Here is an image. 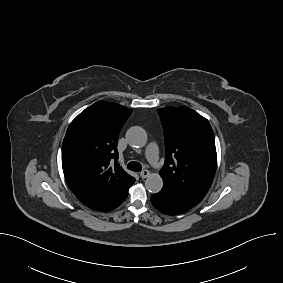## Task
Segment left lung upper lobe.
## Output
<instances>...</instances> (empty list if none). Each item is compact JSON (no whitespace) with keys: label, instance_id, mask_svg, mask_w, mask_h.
Segmentation results:
<instances>
[{"label":"left lung upper lobe","instance_id":"5c2ea615","mask_svg":"<svg viewBox=\"0 0 283 283\" xmlns=\"http://www.w3.org/2000/svg\"><path fill=\"white\" fill-rule=\"evenodd\" d=\"M164 131L166 157L160 175L189 206L208 192L216 171L217 154L208 120L187 106L157 110Z\"/></svg>","mask_w":283,"mask_h":283}]
</instances>
